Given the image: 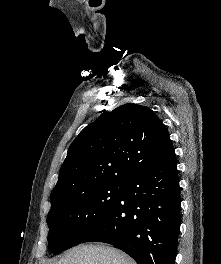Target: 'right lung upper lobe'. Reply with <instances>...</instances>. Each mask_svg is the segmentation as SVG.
Masks as SVG:
<instances>
[{
    "mask_svg": "<svg viewBox=\"0 0 221 264\" xmlns=\"http://www.w3.org/2000/svg\"><path fill=\"white\" fill-rule=\"evenodd\" d=\"M175 156L162 121L148 107L124 104L105 112L70 145L51 209L69 196L156 167Z\"/></svg>",
    "mask_w": 221,
    "mask_h": 264,
    "instance_id": "1",
    "label": "right lung upper lobe"
}]
</instances>
